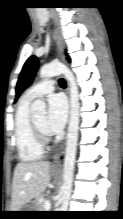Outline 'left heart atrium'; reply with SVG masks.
<instances>
[{"mask_svg":"<svg viewBox=\"0 0 123 219\" xmlns=\"http://www.w3.org/2000/svg\"><path fill=\"white\" fill-rule=\"evenodd\" d=\"M68 106L66 99L61 94H54L48 98V112L46 116V128L51 134L62 130L66 123Z\"/></svg>","mask_w":123,"mask_h":219,"instance_id":"1","label":"left heart atrium"}]
</instances>
